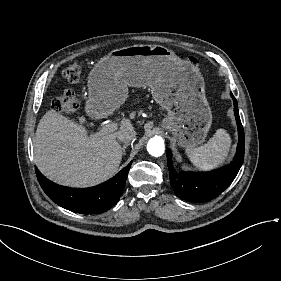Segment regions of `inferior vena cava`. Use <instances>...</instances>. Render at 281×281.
I'll return each mask as SVG.
<instances>
[{"mask_svg": "<svg viewBox=\"0 0 281 281\" xmlns=\"http://www.w3.org/2000/svg\"><path fill=\"white\" fill-rule=\"evenodd\" d=\"M136 137V131L133 129L127 131H120L117 133V138L119 141L124 143H130Z\"/></svg>", "mask_w": 281, "mask_h": 281, "instance_id": "602c4592", "label": "inferior vena cava"}]
</instances>
